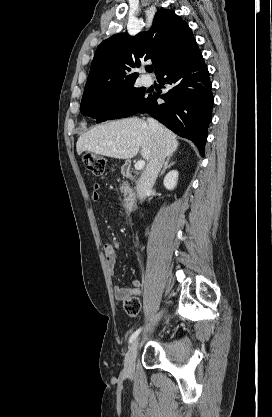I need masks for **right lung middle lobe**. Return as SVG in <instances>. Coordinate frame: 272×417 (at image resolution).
Here are the masks:
<instances>
[{"label": "right lung middle lobe", "instance_id": "dd1d6c3e", "mask_svg": "<svg viewBox=\"0 0 272 417\" xmlns=\"http://www.w3.org/2000/svg\"><path fill=\"white\" fill-rule=\"evenodd\" d=\"M145 88L130 86L115 91L84 94L80 111L84 116L97 119V123L136 114L148 101Z\"/></svg>", "mask_w": 272, "mask_h": 417}]
</instances>
